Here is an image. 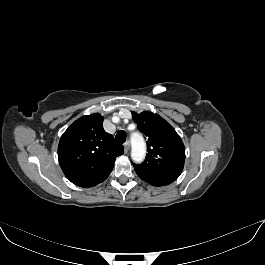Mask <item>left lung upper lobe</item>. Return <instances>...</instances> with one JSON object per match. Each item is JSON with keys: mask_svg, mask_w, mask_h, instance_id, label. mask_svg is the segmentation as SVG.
<instances>
[{"mask_svg": "<svg viewBox=\"0 0 265 265\" xmlns=\"http://www.w3.org/2000/svg\"><path fill=\"white\" fill-rule=\"evenodd\" d=\"M132 117L148 140L145 161L134 165L137 175L154 180L175 181L185 162V147L175 129L162 117L149 111L132 112Z\"/></svg>", "mask_w": 265, "mask_h": 265, "instance_id": "5c2ea615", "label": "left lung upper lobe"}]
</instances>
